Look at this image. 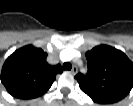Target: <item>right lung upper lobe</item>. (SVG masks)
I'll return each instance as SVG.
<instances>
[{
	"label": "right lung upper lobe",
	"mask_w": 133,
	"mask_h": 106,
	"mask_svg": "<svg viewBox=\"0 0 133 106\" xmlns=\"http://www.w3.org/2000/svg\"><path fill=\"white\" fill-rule=\"evenodd\" d=\"M47 53L32 45L16 50L5 61L1 82L13 97L32 99L49 90L61 65L51 66L46 61Z\"/></svg>",
	"instance_id": "right-lung-upper-lobe-1"
}]
</instances>
